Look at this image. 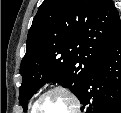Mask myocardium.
Masks as SVG:
<instances>
[{"mask_svg": "<svg viewBox=\"0 0 121 113\" xmlns=\"http://www.w3.org/2000/svg\"><path fill=\"white\" fill-rule=\"evenodd\" d=\"M53 93H62L72 104V109L73 110H79L80 109V100L79 98L76 96V94H74L69 88L65 87V86H56L53 88L48 89L47 91H45L44 93H42L39 98L36 100L33 110L35 113H40V104L41 102L49 95L53 94ZM73 113V112H70Z\"/></svg>", "mask_w": 121, "mask_h": 113, "instance_id": "1", "label": "myocardium"}]
</instances>
